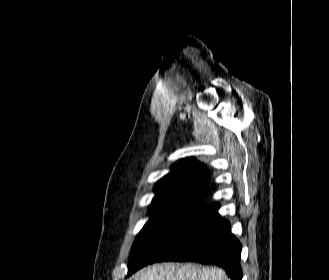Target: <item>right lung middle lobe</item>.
Returning a JSON list of instances; mask_svg holds the SVG:
<instances>
[{"instance_id": "1", "label": "right lung middle lobe", "mask_w": 329, "mask_h": 280, "mask_svg": "<svg viewBox=\"0 0 329 280\" xmlns=\"http://www.w3.org/2000/svg\"><path fill=\"white\" fill-rule=\"evenodd\" d=\"M204 209L202 200L186 198H171L153 204L151 218L133 243L127 276L152 261Z\"/></svg>"}]
</instances>
